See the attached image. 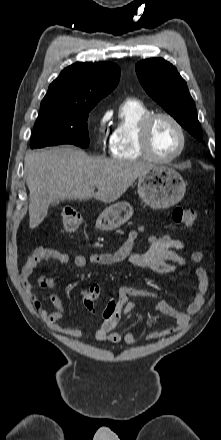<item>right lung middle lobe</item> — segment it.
<instances>
[{
  "mask_svg": "<svg viewBox=\"0 0 221 440\" xmlns=\"http://www.w3.org/2000/svg\"><path fill=\"white\" fill-rule=\"evenodd\" d=\"M93 104L41 102V110L34 125L30 147L41 148L59 144L89 146L88 113Z\"/></svg>",
  "mask_w": 221,
  "mask_h": 440,
  "instance_id": "right-lung-middle-lobe-1",
  "label": "right lung middle lobe"
}]
</instances>
